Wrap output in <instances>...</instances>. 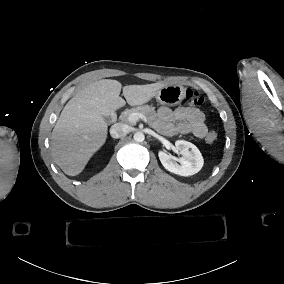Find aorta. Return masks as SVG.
<instances>
[{
	"instance_id": "1",
	"label": "aorta",
	"mask_w": 284,
	"mask_h": 284,
	"mask_svg": "<svg viewBox=\"0 0 284 284\" xmlns=\"http://www.w3.org/2000/svg\"><path fill=\"white\" fill-rule=\"evenodd\" d=\"M134 140L136 142H143L145 139V136L142 132H136L133 136Z\"/></svg>"
}]
</instances>
